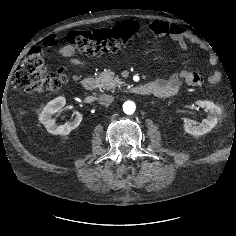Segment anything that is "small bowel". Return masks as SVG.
<instances>
[{"instance_id": "c3829d8e", "label": "small bowel", "mask_w": 236, "mask_h": 236, "mask_svg": "<svg viewBox=\"0 0 236 236\" xmlns=\"http://www.w3.org/2000/svg\"><path fill=\"white\" fill-rule=\"evenodd\" d=\"M145 28L151 34L157 37L169 36L172 40L176 41L179 47L183 50L189 48V43H196L197 36L183 29L177 24H171L160 21H149L145 24ZM62 57L67 59L68 63L80 68H86L89 63L85 60L75 57L76 49L71 45H65L60 49ZM213 62L215 58L210 57ZM208 80L211 83H218L221 80V73L216 71L212 73ZM203 82L202 76L192 70H182L178 73L172 74L168 78H158L149 84L153 87V95L157 97H170L178 92L180 87L184 84L190 86H199Z\"/></svg>"}]
</instances>
